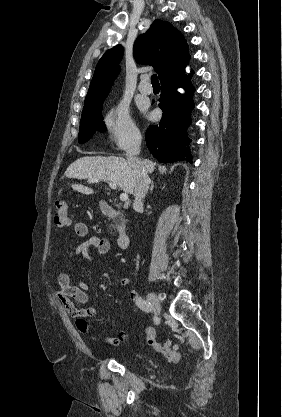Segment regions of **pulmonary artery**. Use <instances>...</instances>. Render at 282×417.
<instances>
[{
  "label": "pulmonary artery",
  "instance_id": "obj_1",
  "mask_svg": "<svg viewBox=\"0 0 282 417\" xmlns=\"http://www.w3.org/2000/svg\"><path fill=\"white\" fill-rule=\"evenodd\" d=\"M148 81H149V78L147 76H144L141 80V83L139 84L138 89L143 95H149L152 93V87L144 85Z\"/></svg>",
  "mask_w": 282,
  "mask_h": 417
}]
</instances>
